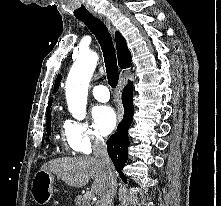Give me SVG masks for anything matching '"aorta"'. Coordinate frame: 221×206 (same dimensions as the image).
<instances>
[{
	"mask_svg": "<svg viewBox=\"0 0 221 206\" xmlns=\"http://www.w3.org/2000/svg\"><path fill=\"white\" fill-rule=\"evenodd\" d=\"M98 55L81 53L72 65L66 81V99L73 117L82 120L86 116L88 87L96 68Z\"/></svg>",
	"mask_w": 221,
	"mask_h": 206,
	"instance_id": "762f6f07",
	"label": "aorta"
}]
</instances>
